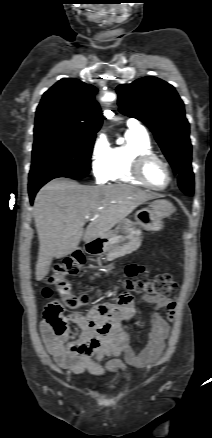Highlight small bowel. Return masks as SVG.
Here are the masks:
<instances>
[{
    "mask_svg": "<svg viewBox=\"0 0 212 438\" xmlns=\"http://www.w3.org/2000/svg\"><path fill=\"white\" fill-rule=\"evenodd\" d=\"M144 272L140 265H129L127 275L134 277ZM142 299L154 306L149 313L151 331L146 347L135 354L129 345V335L124 322L135 318L133 297L122 294L116 304L95 306L89 313H69L66 317L80 328V335L71 340L68 336L56 334L45 321L41 323V333L49 353L62 368L74 374L89 373L100 376L106 372L126 370L127 365L144 368L155 362L161 355L170 325L175 317L176 302L167 297L142 295ZM164 310L168 321L161 315ZM123 356L125 361L120 357ZM110 358L107 362L103 360Z\"/></svg>",
    "mask_w": 212,
    "mask_h": 438,
    "instance_id": "small-bowel-1",
    "label": "small bowel"
}]
</instances>
